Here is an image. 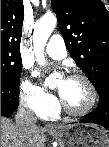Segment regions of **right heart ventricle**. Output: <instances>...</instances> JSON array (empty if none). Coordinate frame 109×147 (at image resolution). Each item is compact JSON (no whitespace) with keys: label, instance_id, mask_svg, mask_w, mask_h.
<instances>
[{"label":"right heart ventricle","instance_id":"right-heart-ventricle-1","mask_svg":"<svg viewBox=\"0 0 109 147\" xmlns=\"http://www.w3.org/2000/svg\"><path fill=\"white\" fill-rule=\"evenodd\" d=\"M57 112H58V109H57V108H52V109H50V110H48V111L42 112L41 114H39V116H40V117H41V116H44L45 119H49V118L55 117L56 114H57Z\"/></svg>","mask_w":109,"mask_h":147}]
</instances>
